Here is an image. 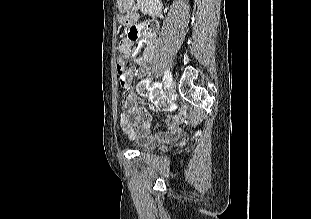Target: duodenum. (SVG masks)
<instances>
[{
  "label": "duodenum",
  "instance_id": "410a0bca",
  "mask_svg": "<svg viewBox=\"0 0 311 219\" xmlns=\"http://www.w3.org/2000/svg\"><path fill=\"white\" fill-rule=\"evenodd\" d=\"M147 29H148L149 32H152L154 30V25L153 24H149Z\"/></svg>",
  "mask_w": 311,
  "mask_h": 219
}]
</instances>
